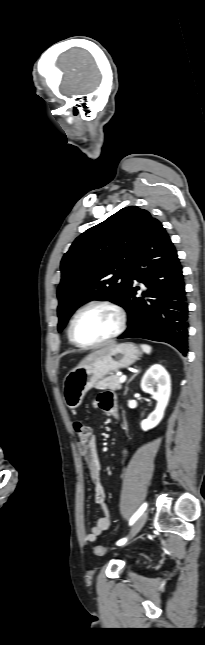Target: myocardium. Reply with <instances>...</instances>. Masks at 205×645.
<instances>
[{"mask_svg":"<svg viewBox=\"0 0 205 645\" xmlns=\"http://www.w3.org/2000/svg\"><path fill=\"white\" fill-rule=\"evenodd\" d=\"M91 307H104V308H108L111 311H113L115 313L116 317H117V325H116L115 330L109 336H107L106 338H104L102 340H99V341H96V342L86 343V342L80 341L77 338V336L75 334L74 327H75V323H76V320H77L78 316L83 311H85L86 309L91 308ZM126 323H127L126 313H125L124 309L119 304H117V303H115V302H113L111 300L96 299V300L88 301L87 303L83 304L81 307H79L76 310V312L74 313V315H73V317H72V319L70 321L68 332H69V337H70L71 341L74 344H76V345H78L80 347H83V348H95V347H99V346H102L104 344H107L110 341H112L115 338H117L118 336H120L123 333V331L125 330V328H126Z\"/></svg>","mask_w":205,"mask_h":645,"instance_id":"obj_1","label":"myocardium"}]
</instances>
